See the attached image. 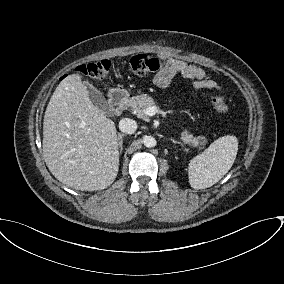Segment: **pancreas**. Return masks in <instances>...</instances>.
I'll return each instance as SVG.
<instances>
[{
  "label": "pancreas",
  "instance_id": "1",
  "mask_svg": "<svg viewBox=\"0 0 284 284\" xmlns=\"http://www.w3.org/2000/svg\"><path fill=\"white\" fill-rule=\"evenodd\" d=\"M127 106L129 110L134 113L138 118L148 120L146 109L155 106V101L148 94H141L129 99ZM181 140L188 145L203 149L207 144V139L203 136L194 137L187 130L181 133Z\"/></svg>",
  "mask_w": 284,
  "mask_h": 284
}]
</instances>
